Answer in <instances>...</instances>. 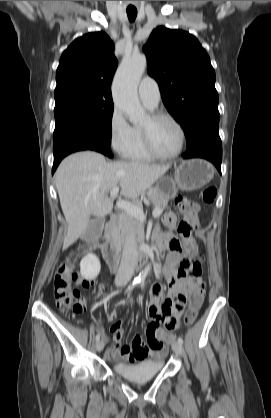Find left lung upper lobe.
<instances>
[{"instance_id":"left-lung-upper-lobe-1","label":"left lung upper lobe","mask_w":271,"mask_h":418,"mask_svg":"<svg viewBox=\"0 0 271 418\" xmlns=\"http://www.w3.org/2000/svg\"><path fill=\"white\" fill-rule=\"evenodd\" d=\"M143 50L149 74L158 82L166 108L183 128L187 147L200 137L218 134L215 71L199 41L188 32L160 26Z\"/></svg>"}]
</instances>
